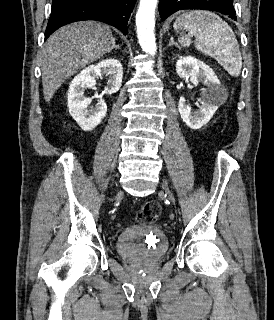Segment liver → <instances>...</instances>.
I'll list each match as a JSON object with an SVG mask.
<instances>
[{
  "label": "liver",
  "mask_w": 274,
  "mask_h": 320,
  "mask_svg": "<svg viewBox=\"0 0 274 320\" xmlns=\"http://www.w3.org/2000/svg\"><path fill=\"white\" fill-rule=\"evenodd\" d=\"M113 42L109 26L90 20L54 32L44 44L41 60L45 102H50L65 80L111 52Z\"/></svg>",
  "instance_id": "liver-1"
}]
</instances>
